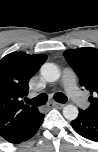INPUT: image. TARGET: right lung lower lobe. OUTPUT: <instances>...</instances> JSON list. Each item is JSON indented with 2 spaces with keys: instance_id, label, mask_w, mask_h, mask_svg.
Instances as JSON below:
<instances>
[{
  "instance_id": "obj_1",
  "label": "right lung lower lobe",
  "mask_w": 98,
  "mask_h": 152,
  "mask_svg": "<svg viewBox=\"0 0 98 152\" xmlns=\"http://www.w3.org/2000/svg\"><path fill=\"white\" fill-rule=\"evenodd\" d=\"M43 119L44 114H41L38 111L18 128L1 137H3L6 141L15 144L26 141L36 134L43 122Z\"/></svg>"
}]
</instances>
